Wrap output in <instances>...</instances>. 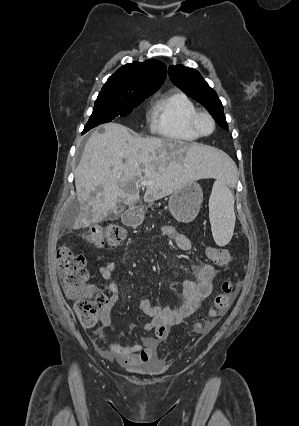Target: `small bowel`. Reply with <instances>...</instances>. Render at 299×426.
Here are the masks:
<instances>
[{"label":"small bowel","instance_id":"obj_1","mask_svg":"<svg viewBox=\"0 0 299 426\" xmlns=\"http://www.w3.org/2000/svg\"><path fill=\"white\" fill-rule=\"evenodd\" d=\"M162 231L164 236L174 240L179 249L184 252L190 250L189 239L175 228L165 226ZM117 270V265L112 261L98 268L102 278L109 282L108 288L111 292L107 304L100 313V322L103 328L113 333L118 332L111 319V309L118 300V285L114 281ZM216 274L217 271L212 265L206 263L193 265L189 270V277L183 280L182 301L174 308L154 306L148 298H141L140 309L151 318L143 324V329L148 332L154 331L155 335L143 337L141 343L133 345L106 344L100 337L103 342V346L99 348L100 354L107 359L118 361L125 367L156 359L157 348L167 338L169 329L196 312L202 301L211 294Z\"/></svg>","mask_w":299,"mask_h":426}]
</instances>
